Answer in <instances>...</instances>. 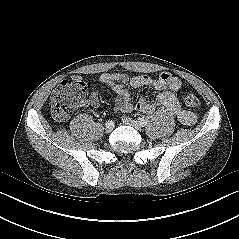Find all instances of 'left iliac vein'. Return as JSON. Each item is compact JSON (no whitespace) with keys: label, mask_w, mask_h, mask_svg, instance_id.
<instances>
[{"label":"left iliac vein","mask_w":239,"mask_h":239,"mask_svg":"<svg viewBox=\"0 0 239 239\" xmlns=\"http://www.w3.org/2000/svg\"><path fill=\"white\" fill-rule=\"evenodd\" d=\"M122 121H123V123H125L127 125H130V126L134 127L137 130H141V126L139 125V123L137 121L129 118V117L124 116L122 118Z\"/></svg>","instance_id":"left-iliac-vein-1"}]
</instances>
